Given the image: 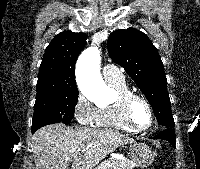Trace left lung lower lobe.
<instances>
[{
	"label": "left lung lower lobe",
	"instance_id": "1",
	"mask_svg": "<svg viewBox=\"0 0 200 169\" xmlns=\"http://www.w3.org/2000/svg\"><path fill=\"white\" fill-rule=\"evenodd\" d=\"M154 139L167 140L175 147V132L173 127H164V130L155 136Z\"/></svg>",
	"mask_w": 200,
	"mask_h": 169
}]
</instances>
